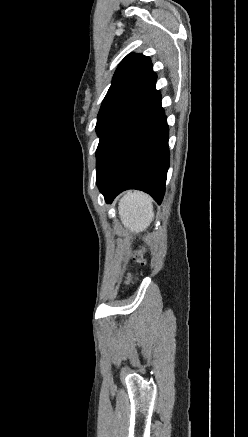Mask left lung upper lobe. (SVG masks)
<instances>
[{
	"mask_svg": "<svg viewBox=\"0 0 248 437\" xmlns=\"http://www.w3.org/2000/svg\"><path fill=\"white\" fill-rule=\"evenodd\" d=\"M156 80L157 75L147 56L132 53L119 64L97 116L96 132L100 138L96 150L97 169L114 132L157 92Z\"/></svg>",
	"mask_w": 248,
	"mask_h": 437,
	"instance_id": "1",
	"label": "left lung upper lobe"
}]
</instances>
